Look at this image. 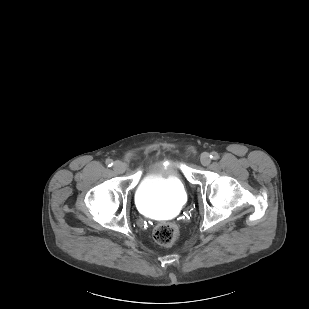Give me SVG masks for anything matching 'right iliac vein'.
Here are the masks:
<instances>
[{"mask_svg":"<svg viewBox=\"0 0 309 309\" xmlns=\"http://www.w3.org/2000/svg\"><path fill=\"white\" fill-rule=\"evenodd\" d=\"M113 169L116 173L118 174H122L125 172V164L121 161H115L114 165H113Z\"/></svg>","mask_w":309,"mask_h":309,"instance_id":"right-iliac-vein-1","label":"right iliac vein"}]
</instances>
